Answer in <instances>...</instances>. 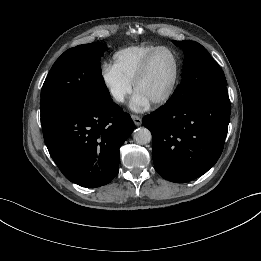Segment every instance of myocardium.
<instances>
[{
    "label": "myocardium",
    "instance_id": "1",
    "mask_svg": "<svg viewBox=\"0 0 261 261\" xmlns=\"http://www.w3.org/2000/svg\"><path fill=\"white\" fill-rule=\"evenodd\" d=\"M161 51H168L169 53L172 54V56L174 58L175 68H174V75H173L172 82H171L169 88L167 89V91L159 98L151 101V104L156 107L166 104L171 99V97L173 96V94L175 93V90L177 88L179 76H180V60H179L177 53L170 47L159 46L146 57V59L142 63L140 70L138 71V73L134 79V82H133L134 90L137 91L139 84L144 80V78L146 77V75L149 71V67H150V64H151L153 58L156 56V54H158Z\"/></svg>",
    "mask_w": 261,
    "mask_h": 261
}]
</instances>
